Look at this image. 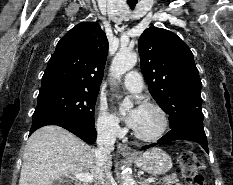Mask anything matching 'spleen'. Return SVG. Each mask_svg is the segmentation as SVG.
Listing matches in <instances>:
<instances>
[{"instance_id": "spleen-1", "label": "spleen", "mask_w": 233, "mask_h": 185, "mask_svg": "<svg viewBox=\"0 0 233 185\" xmlns=\"http://www.w3.org/2000/svg\"><path fill=\"white\" fill-rule=\"evenodd\" d=\"M202 168H203V169H205V168H206L205 164H202Z\"/></svg>"}]
</instances>
